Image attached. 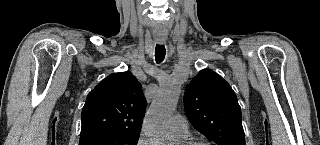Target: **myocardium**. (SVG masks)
I'll list each match as a JSON object with an SVG mask.
<instances>
[{
  "instance_id": "f54148a6",
  "label": "myocardium",
  "mask_w": 320,
  "mask_h": 145,
  "mask_svg": "<svg viewBox=\"0 0 320 145\" xmlns=\"http://www.w3.org/2000/svg\"><path fill=\"white\" fill-rule=\"evenodd\" d=\"M183 145H209V144L205 141L189 140L184 142Z\"/></svg>"
}]
</instances>
